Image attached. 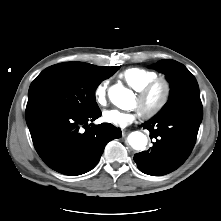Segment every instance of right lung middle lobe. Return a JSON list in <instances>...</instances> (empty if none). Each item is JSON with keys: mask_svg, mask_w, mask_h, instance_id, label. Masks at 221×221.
I'll return each instance as SVG.
<instances>
[{"mask_svg": "<svg viewBox=\"0 0 221 221\" xmlns=\"http://www.w3.org/2000/svg\"><path fill=\"white\" fill-rule=\"evenodd\" d=\"M119 68L115 66L101 72H88L69 63L50 66L31 83L27 107L55 106L81 113L97 110L96 88Z\"/></svg>", "mask_w": 221, "mask_h": 221, "instance_id": "right-lung-middle-lobe-1", "label": "right lung middle lobe"}]
</instances>
